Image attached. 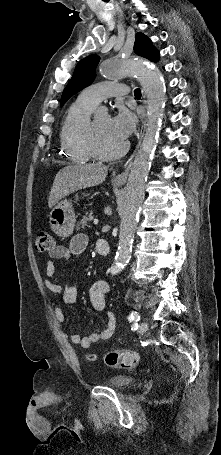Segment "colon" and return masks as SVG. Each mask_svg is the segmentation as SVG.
Instances as JSON below:
<instances>
[{
    "label": "colon",
    "instance_id": "obj_1",
    "mask_svg": "<svg viewBox=\"0 0 221 455\" xmlns=\"http://www.w3.org/2000/svg\"><path fill=\"white\" fill-rule=\"evenodd\" d=\"M35 247L38 252H51L54 248L53 238L46 230H40L36 235ZM95 359V356H90ZM103 362L108 367L112 368H136L142 360L140 355L135 351H111L107 352L103 358Z\"/></svg>",
    "mask_w": 221,
    "mask_h": 455
}]
</instances>
